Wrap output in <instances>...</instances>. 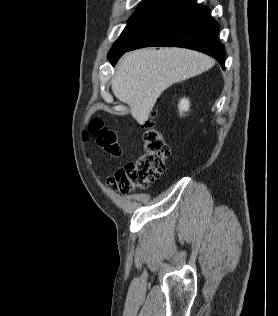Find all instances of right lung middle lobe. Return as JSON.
I'll return each instance as SVG.
<instances>
[{"label":"right lung middle lobe","mask_w":278,"mask_h":316,"mask_svg":"<svg viewBox=\"0 0 278 316\" xmlns=\"http://www.w3.org/2000/svg\"><path fill=\"white\" fill-rule=\"evenodd\" d=\"M169 2L170 0H144L112 46L108 54L109 59L129 48L157 19Z\"/></svg>","instance_id":"obj_1"}]
</instances>
